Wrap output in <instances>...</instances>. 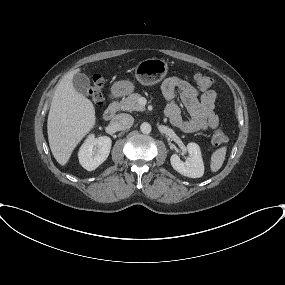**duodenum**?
I'll return each mask as SVG.
<instances>
[{
	"label": "duodenum",
	"instance_id": "obj_1",
	"mask_svg": "<svg viewBox=\"0 0 285 285\" xmlns=\"http://www.w3.org/2000/svg\"><path fill=\"white\" fill-rule=\"evenodd\" d=\"M116 112H117V105L115 103H110L103 112V119L105 121L112 120Z\"/></svg>",
	"mask_w": 285,
	"mask_h": 285
}]
</instances>
